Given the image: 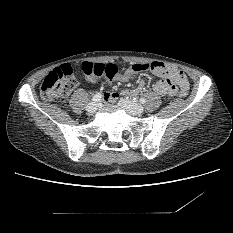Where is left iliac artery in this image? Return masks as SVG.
I'll use <instances>...</instances> for the list:
<instances>
[{"mask_svg":"<svg viewBox=\"0 0 233 233\" xmlns=\"http://www.w3.org/2000/svg\"><path fill=\"white\" fill-rule=\"evenodd\" d=\"M140 103L144 104L146 102L145 98H140Z\"/></svg>","mask_w":233,"mask_h":233,"instance_id":"left-iliac-artery-1","label":"left iliac artery"}]
</instances>
